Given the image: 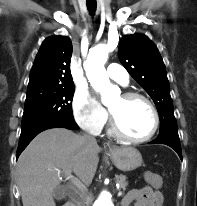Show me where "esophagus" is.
I'll use <instances>...</instances> for the list:
<instances>
[{"label": "esophagus", "instance_id": "34e87169", "mask_svg": "<svg viewBox=\"0 0 197 206\" xmlns=\"http://www.w3.org/2000/svg\"><path fill=\"white\" fill-rule=\"evenodd\" d=\"M105 149L112 152L115 150V146L111 145V144H106L105 146Z\"/></svg>", "mask_w": 197, "mask_h": 206}]
</instances>
